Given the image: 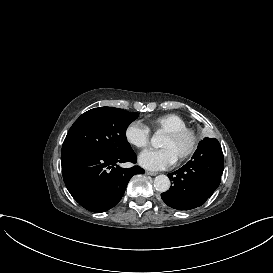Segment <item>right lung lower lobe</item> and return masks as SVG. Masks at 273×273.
Segmentation results:
<instances>
[{"label": "right lung lower lobe", "instance_id": "obj_1", "mask_svg": "<svg viewBox=\"0 0 273 273\" xmlns=\"http://www.w3.org/2000/svg\"><path fill=\"white\" fill-rule=\"evenodd\" d=\"M136 160L132 149L121 154L77 152L61 159L62 175L68 191L82 207L101 213L120 201L133 175L144 173L139 166H118Z\"/></svg>", "mask_w": 273, "mask_h": 273}]
</instances>
